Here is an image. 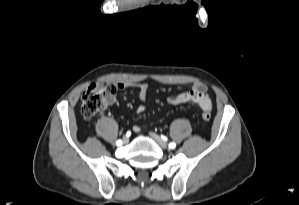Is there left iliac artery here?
Returning a JSON list of instances; mask_svg holds the SVG:
<instances>
[{
    "label": "left iliac artery",
    "instance_id": "left-iliac-artery-1",
    "mask_svg": "<svg viewBox=\"0 0 299 205\" xmlns=\"http://www.w3.org/2000/svg\"><path fill=\"white\" fill-rule=\"evenodd\" d=\"M176 147V144L174 142H171L169 144V148L174 149Z\"/></svg>",
    "mask_w": 299,
    "mask_h": 205
}]
</instances>
